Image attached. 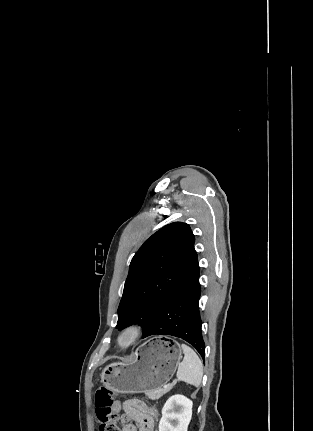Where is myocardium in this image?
I'll return each mask as SVG.
<instances>
[{
	"instance_id": "1",
	"label": "myocardium",
	"mask_w": 313,
	"mask_h": 431,
	"mask_svg": "<svg viewBox=\"0 0 313 431\" xmlns=\"http://www.w3.org/2000/svg\"><path fill=\"white\" fill-rule=\"evenodd\" d=\"M144 328L141 324L133 323L124 327L118 334L116 343L121 349L132 347L142 337Z\"/></svg>"
}]
</instances>
